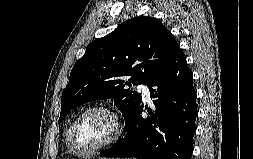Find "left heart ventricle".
I'll list each match as a JSON object with an SVG mask.
<instances>
[{"label": "left heart ventricle", "mask_w": 253, "mask_h": 159, "mask_svg": "<svg viewBox=\"0 0 253 159\" xmlns=\"http://www.w3.org/2000/svg\"><path fill=\"white\" fill-rule=\"evenodd\" d=\"M114 132L110 115L103 111L85 114L76 124L72 144L78 151H87L108 140Z\"/></svg>", "instance_id": "left-heart-ventricle-1"}]
</instances>
